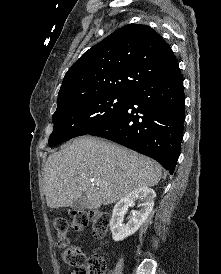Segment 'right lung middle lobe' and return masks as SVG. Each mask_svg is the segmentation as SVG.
I'll use <instances>...</instances> for the list:
<instances>
[{
  "mask_svg": "<svg viewBox=\"0 0 221 274\" xmlns=\"http://www.w3.org/2000/svg\"><path fill=\"white\" fill-rule=\"evenodd\" d=\"M131 95L105 94L58 103L53 115L50 147L89 134L109 122Z\"/></svg>",
  "mask_w": 221,
  "mask_h": 274,
  "instance_id": "right-lung-middle-lobe-1",
  "label": "right lung middle lobe"
}]
</instances>
